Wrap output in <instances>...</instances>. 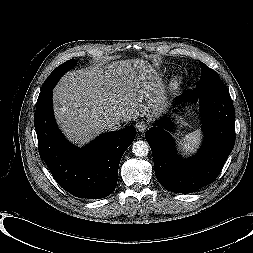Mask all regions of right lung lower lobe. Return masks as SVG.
I'll use <instances>...</instances> for the list:
<instances>
[{"label":"right lung lower lobe","instance_id":"obj_1","mask_svg":"<svg viewBox=\"0 0 253 253\" xmlns=\"http://www.w3.org/2000/svg\"><path fill=\"white\" fill-rule=\"evenodd\" d=\"M34 126L40 157L65 191L87 199L104 198L114 191L121 157L136 135L134 126L102 134L88 146L77 148L57 127L52 90L37 100Z\"/></svg>","mask_w":253,"mask_h":253}]
</instances>
